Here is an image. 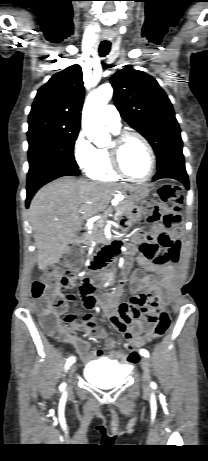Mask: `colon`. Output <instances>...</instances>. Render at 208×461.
<instances>
[{
	"label": "colon",
	"mask_w": 208,
	"mask_h": 461,
	"mask_svg": "<svg viewBox=\"0 0 208 461\" xmlns=\"http://www.w3.org/2000/svg\"><path fill=\"white\" fill-rule=\"evenodd\" d=\"M158 195V200H147L143 203L142 212L149 222L161 224L168 229L172 228L181 221L179 210L182 204V190L177 185L164 184L159 188ZM134 239L140 244V251H168L143 240L142 236H136ZM72 287V280H67L62 269L56 266L48 267L42 277L32 284V297L36 301L41 324L45 332L53 338L61 336L59 313H70L71 310L64 306L61 294ZM169 327L170 316L167 312H162L151 327V338L164 336ZM143 346V339L128 340L124 349L138 353Z\"/></svg>",
	"instance_id": "1"
}]
</instances>
